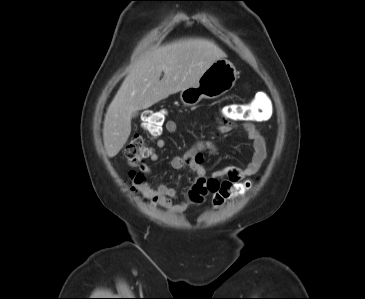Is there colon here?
Masks as SVG:
<instances>
[{
  "mask_svg": "<svg viewBox=\"0 0 365 299\" xmlns=\"http://www.w3.org/2000/svg\"><path fill=\"white\" fill-rule=\"evenodd\" d=\"M166 111L163 109L148 110L142 115V127L149 134L156 136L162 131L165 121ZM261 118L255 113L248 104H231L226 106L220 115V121H237V120H254ZM150 148L144 141L143 137L136 134L132 137L125 148V158L132 166H138L142 161L149 156ZM131 191L140 196L139 187L144 179L138 173H131ZM252 187V182L245 180L242 182H206L199 185H193L189 191V200L192 204H201L205 197L211 193L213 195V205L217 208L232 198L244 194Z\"/></svg>",
  "mask_w": 365,
  "mask_h": 299,
  "instance_id": "obj_1",
  "label": "colon"
}]
</instances>
